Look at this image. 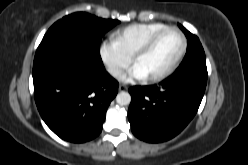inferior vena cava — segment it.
Listing matches in <instances>:
<instances>
[{"label": "inferior vena cava", "mask_w": 248, "mask_h": 165, "mask_svg": "<svg viewBox=\"0 0 248 165\" xmlns=\"http://www.w3.org/2000/svg\"><path fill=\"white\" fill-rule=\"evenodd\" d=\"M109 72L113 75V76H118L119 74L122 73V70L116 67L110 68Z\"/></svg>", "instance_id": "1"}]
</instances>
